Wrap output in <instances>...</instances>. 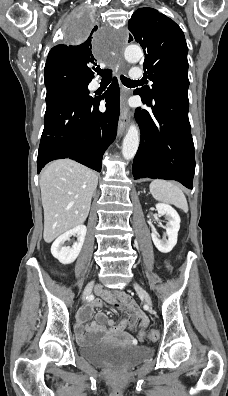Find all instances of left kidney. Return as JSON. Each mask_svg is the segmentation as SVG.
<instances>
[{"mask_svg": "<svg viewBox=\"0 0 228 396\" xmlns=\"http://www.w3.org/2000/svg\"><path fill=\"white\" fill-rule=\"evenodd\" d=\"M156 209L160 216L165 215L167 223L163 226L166 230V236L160 239L159 234L154 229L152 231V240L156 248L162 253L170 252L177 243L178 231L180 229V217L176 210L168 204L158 203Z\"/></svg>", "mask_w": 228, "mask_h": 396, "instance_id": "1", "label": "left kidney"}]
</instances>
